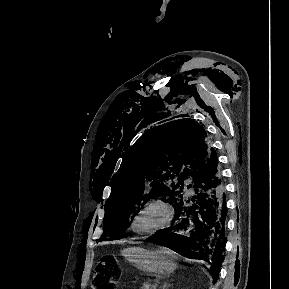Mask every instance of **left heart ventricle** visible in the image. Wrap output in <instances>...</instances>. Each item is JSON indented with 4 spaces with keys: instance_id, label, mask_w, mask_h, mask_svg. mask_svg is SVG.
Here are the masks:
<instances>
[{
    "instance_id": "1",
    "label": "left heart ventricle",
    "mask_w": 289,
    "mask_h": 289,
    "mask_svg": "<svg viewBox=\"0 0 289 289\" xmlns=\"http://www.w3.org/2000/svg\"><path fill=\"white\" fill-rule=\"evenodd\" d=\"M164 221V212L162 209L153 207L145 211L137 220L136 227L142 231L151 230Z\"/></svg>"
}]
</instances>
